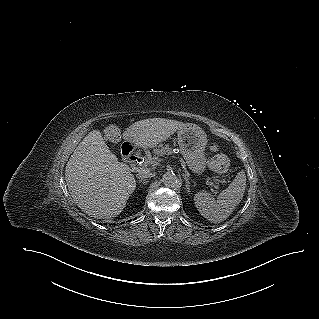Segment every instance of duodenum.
Segmentation results:
<instances>
[{
	"mask_svg": "<svg viewBox=\"0 0 319 319\" xmlns=\"http://www.w3.org/2000/svg\"><path fill=\"white\" fill-rule=\"evenodd\" d=\"M123 161L129 165H135L139 162V158L135 155L132 147L126 143L122 146Z\"/></svg>",
	"mask_w": 319,
	"mask_h": 319,
	"instance_id": "obj_1",
	"label": "duodenum"
}]
</instances>
